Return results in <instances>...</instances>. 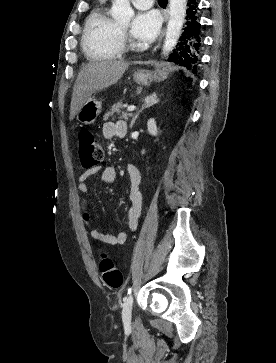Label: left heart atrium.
Segmentation results:
<instances>
[{"mask_svg": "<svg viewBox=\"0 0 276 363\" xmlns=\"http://www.w3.org/2000/svg\"><path fill=\"white\" fill-rule=\"evenodd\" d=\"M161 16L155 10L138 12L131 26L132 35L141 41H151L159 33Z\"/></svg>", "mask_w": 276, "mask_h": 363, "instance_id": "obj_1", "label": "left heart atrium"}]
</instances>
